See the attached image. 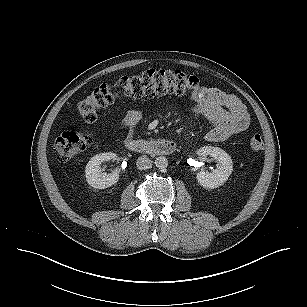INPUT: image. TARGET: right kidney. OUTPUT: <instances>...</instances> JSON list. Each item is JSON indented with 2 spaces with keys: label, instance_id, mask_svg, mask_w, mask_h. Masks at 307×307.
Instances as JSON below:
<instances>
[{
  "label": "right kidney",
  "instance_id": "1",
  "mask_svg": "<svg viewBox=\"0 0 307 307\" xmlns=\"http://www.w3.org/2000/svg\"><path fill=\"white\" fill-rule=\"evenodd\" d=\"M116 158L114 153H100L90 159L85 168L86 180L90 186L96 189L111 187L119 180V171L115 170L110 174L103 173L101 163Z\"/></svg>",
  "mask_w": 307,
  "mask_h": 307
}]
</instances>
